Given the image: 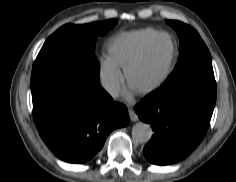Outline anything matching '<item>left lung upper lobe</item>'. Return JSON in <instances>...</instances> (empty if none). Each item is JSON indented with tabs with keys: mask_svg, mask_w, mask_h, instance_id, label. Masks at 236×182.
<instances>
[{
	"mask_svg": "<svg viewBox=\"0 0 236 182\" xmlns=\"http://www.w3.org/2000/svg\"><path fill=\"white\" fill-rule=\"evenodd\" d=\"M166 23L180 39L179 57L173 72L154 94L168 99L191 96L215 102L216 81L211 55L204 41L189 25L175 20H166Z\"/></svg>",
	"mask_w": 236,
	"mask_h": 182,
	"instance_id": "left-lung-upper-lobe-1",
	"label": "left lung upper lobe"
}]
</instances>
